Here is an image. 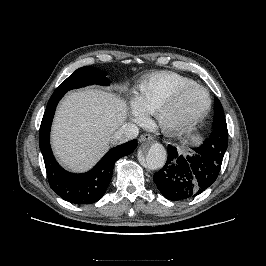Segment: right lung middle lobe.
Returning <instances> with one entry per match:
<instances>
[{
    "label": "right lung middle lobe",
    "instance_id": "right-lung-middle-lobe-1",
    "mask_svg": "<svg viewBox=\"0 0 266 266\" xmlns=\"http://www.w3.org/2000/svg\"><path fill=\"white\" fill-rule=\"evenodd\" d=\"M92 84L108 85L109 80L106 73L94 67H82L73 72L55 91L67 92Z\"/></svg>",
    "mask_w": 266,
    "mask_h": 266
}]
</instances>
